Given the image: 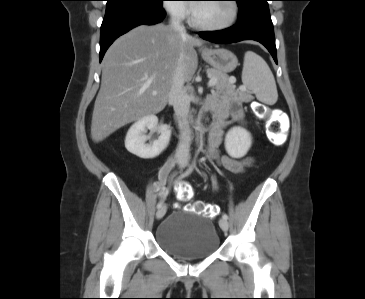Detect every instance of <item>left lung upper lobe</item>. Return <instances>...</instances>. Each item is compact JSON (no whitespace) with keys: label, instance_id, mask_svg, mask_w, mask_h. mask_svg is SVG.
<instances>
[{"label":"left lung upper lobe","instance_id":"left-lung-upper-lobe-1","mask_svg":"<svg viewBox=\"0 0 365 299\" xmlns=\"http://www.w3.org/2000/svg\"><path fill=\"white\" fill-rule=\"evenodd\" d=\"M235 1H237L238 6H240L242 4H246V3L250 2L251 0H235Z\"/></svg>","mask_w":365,"mask_h":299}]
</instances>
